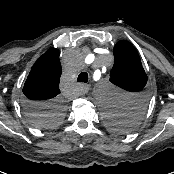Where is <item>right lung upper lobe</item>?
<instances>
[{
    "mask_svg": "<svg viewBox=\"0 0 174 174\" xmlns=\"http://www.w3.org/2000/svg\"><path fill=\"white\" fill-rule=\"evenodd\" d=\"M61 72L59 50L50 48L35 62L27 77L23 87L27 102L45 105L60 100Z\"/></svg>",
    "mask_w": 174,
    "mask_h": 174,
    "instance_id": "obj_1",
    "label": "right lung upper lobe"
}]
</instances>
